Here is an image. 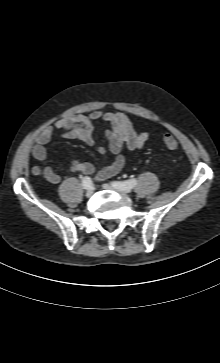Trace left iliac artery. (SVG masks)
<instances>
[{
    "mask_svg": "<svg viewBox=\"0 0 220 363\" xmlns=\"http://www.w3.org/2000/svg\"><path fill=\"white\" fill-rule=\"evenodd\" d=\"M136 184H137L136 179H130V180L123 181V182H113L114 187L119 188L126 192H129L131 189H133Z\"/></svg>",
    "mask_w": 220,
    "mask_h": 363,
    "instance_id": "44dca946",
    "label": "left iliac artery"
}]
</instances>
